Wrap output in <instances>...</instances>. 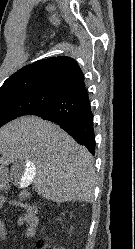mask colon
<instances>
[{"instance_id":"colon-1","label":"colon","mask_w":135,"mask_h":249,"mask_svg":"<svg viewBox=\"0 0 135 249\" xmlns=\"http://www.w3.org/2000/svg\"><path fill=\"white\" fill-rule=\"evenodd\" d=\"M38 249H57L53 246H50L49 244H47L44 240L40 241L37 244Z\"/></svg>"}]
</instances>
